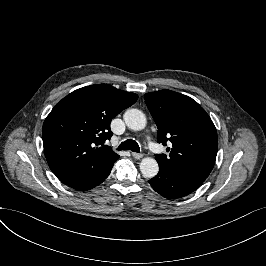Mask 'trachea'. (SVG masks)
<instances>
[{"label":"trachea","mask_w":266,"mask_h":266,"mask_svg":"<svg viewBox=\"0 0 266 266\" xmlns=\"http://www.w3.org/2000/svg\"><path fill=\"white\" fill-rule=\"evenodd\" d=\"M118 150H131L133 152H139V145L136 143V141L128 139L119 145Z\"/></svg>","instance_id":"1"}]
</instances>
